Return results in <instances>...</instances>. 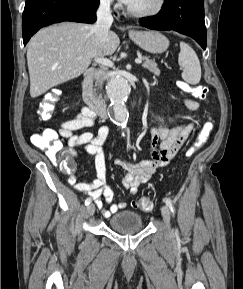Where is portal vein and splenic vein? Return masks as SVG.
I'll return each instance as SVG.
<instances>
[{"label": "portal vein and splenic vein", "instance_id": "obj_1", "mask_svg": "<svg viewBox=\"0 0 243 289\" xmlns=\"http://www.w3.org/2000/svg\"><path fill=\"white\" fill-rule=\"evenodd\" d=\"M78 60L81 59V57H78L77 58ZM95 62L101 64V65H104V66H108V67H112L113 66V62L107 58H97L95 59ZM135 62L137 64H141L142 63V59L141 58H138V59H135Z\"/></svg>", "mask_w": 243, "mask_h": 289}]
</instances>
